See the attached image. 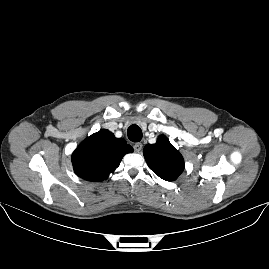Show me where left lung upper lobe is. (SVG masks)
<instances>
[{
  "mask_svg": "<svg viewBox=\"0 0 269 269\" xmlns=\"http://www.w3.org/2000/svg\"><path fill=\"white\" fill-rule=\"evenodd\" d=\"M143 154L149 168L164 180L173 181L184 170L182 155L164 135L159 136L155 144H147Z\"/></svg>",
  "mask_w": 269,
  "mask_h": 269,
  "instance_id": "5c2ea615",
  "label": "left lung upper lobe"
}]
</instances>
